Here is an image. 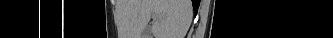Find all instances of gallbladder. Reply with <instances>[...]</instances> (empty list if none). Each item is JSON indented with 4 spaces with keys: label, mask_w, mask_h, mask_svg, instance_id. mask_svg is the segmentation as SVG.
Here are the masks:
<instances>
[{
    "label": "gallbladder",
    "mask_w": 333,
    "mask_h": 38,
    "mask_svg": "<svg viewBox=\"0 0 333 38\" xmlns=\"http://www.w3.org/2000/svg\"><path fill=\"white\" fill-rule=\"evenodd\" d=\"M151 37V28L150 26H147L141 34V38H150Z\"/></svg>",
    "instance_id": "1"
}]
</instances>
